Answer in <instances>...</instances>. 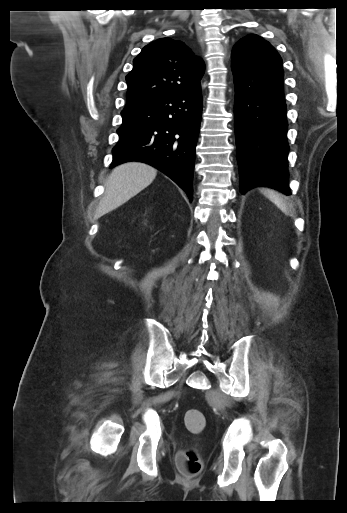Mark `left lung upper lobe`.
<instances>
[{
  "label": "left lung upper lobe",
  "mask_w": 347,
  "mask_h": 513,
  "mask_svg": "<svg viewBox=\"0 0 347 513\" xmlns=\"http://www.w3.org/2000/svg\"><path fill=\"white\" fill-rule=\"evenodd\" d=\"M238 64L255 71L283 73L282 59L263 38L249 34L240 39L232 51V65Z\"/></svg>",
  "instance_id": "obj_1"
}]
</instances>
